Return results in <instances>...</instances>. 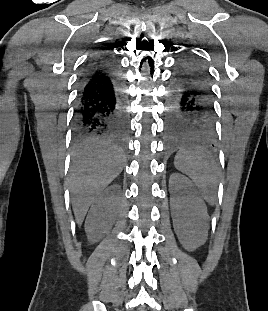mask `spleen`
Instances as JSON below:
<instances>
[{"label":"spleen","mask_w":268,"mask_h":311,"mask_svg":"<svg viewBox=\"0 0 268 311\" xmlns=\"http://www.w3.org/2000/svg\"><path fill=\"white\" fill-rule=\"evenodd\" d=\"M175 167L189 176L206 202L216 200L217 167L211 152L183 149L175 156Z\"/></svg>","instance_id":"3e777b00"}]
</instances>
